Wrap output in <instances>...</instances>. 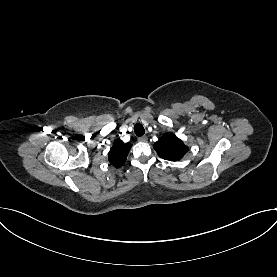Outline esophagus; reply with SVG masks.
Here are the masks:
<instances>
[{
    "instance_id": "obj_1",
    "label": "esophagus",
    "mask_w": 277,
    "mask_h": 277,
    "mask_svg": "<svg viewBox=\"0 0 277 277\" xmlns=\"http://www.w3.org/2000/svg\"><path fill=\"white\" fill-rule=\"evenodd\" d=\"M138 141L139 142H147L148 138L146 136H141V137L138 138Z\"/></svg>"
}]
</instances>
